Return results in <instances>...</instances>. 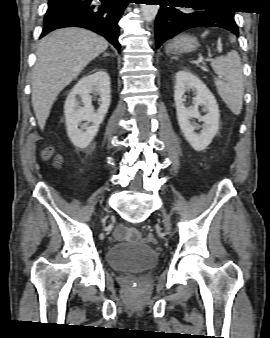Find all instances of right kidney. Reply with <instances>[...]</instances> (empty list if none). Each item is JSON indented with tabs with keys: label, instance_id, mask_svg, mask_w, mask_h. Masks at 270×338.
I'll use <instances>...</instances> for the list:
<instances>
[{
	"label": "right kidney",
	"instance_id": "obj_1",
	"mask_svg": "<svg viewBox=\"0 0 270 338\" xmlns=\"http://www.w3.org/2000/svg\"><path fill=\"white\" fill-rule=\"evenodd\" d=\"M110 77L104 70H97L81 78L68 94L64 105L67 133L78 148H86L96 136L111 102ZM91 93L100 96V107L95 112ZM81 98L78 101L76 96ZM83 121L91 122L92 126ZM80 126V129L78 128Z\"/></svg>",
	"mask_w": 270,
	"mask_h": 338
}]
</instances>
